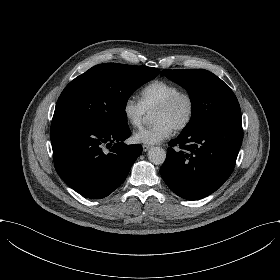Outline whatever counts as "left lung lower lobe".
Here are the masks:
<instances>
[{
  "label": "left lung lower lobe",
  "mask_w": 280,
  "mask_h": 280,
  "mask_svg": "<svg viewBox=\"0 0 280 280\" xmlns=\"http://www.w3.org/2000/svg\"><path fill=\"white\" fill-rule=\"evenodd\" d=\"M242 139L241 115L182 132L169 142L161 176L178 196L187 200L202 199L215 192L231 175ZM176 145L184 151H175L172 147Z\"/></svg>",
  "instance_id": "obj_1"
}]
</instances>
